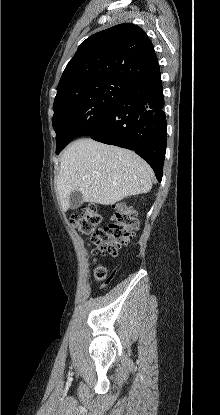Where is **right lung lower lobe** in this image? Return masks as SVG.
<instances>
[{
    "label": "right lung lower lobe",
    "mask_w": 220,
    "mask_h": 415,
    "mask_svg": "<svg viewBox=\"0 0 220 415\" xmlns=\"http://www.w3.org/2000/svg\"><path fill=\"white\" fill-rule=\"evenodd\" d=\"M160 73L132 86L108 111L90 137L134 150L152 167L159 182L166 151V116Z\"/></svg>",
    "instance_id": "1"
}]
</instances>
